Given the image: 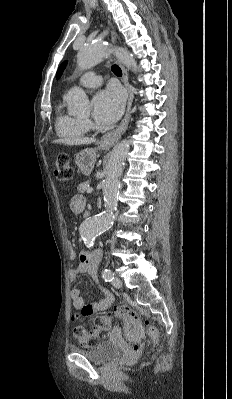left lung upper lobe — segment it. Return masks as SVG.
Returning <instances> with one entry per match:
<instances>
[{"mask_svg": "<svg viewBox=\"0 0 232 399\" xmlns=\"http://www.w3.org/2000/svg\"><path fill=\"white\" fill-rule=\"evenodd\" d=\"M65 66H66V62H64V63L59 67V69H58V71H57V75H56V78H57V79L60 78V76H61V74H62V72H63Z\"/></svg>", "mask_w": 232, "mask_h": 399, "instance_id": "1", "label": "left lung upper lobe"}]
</instances>
